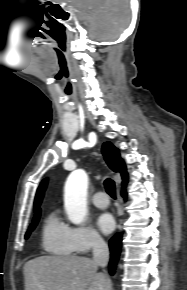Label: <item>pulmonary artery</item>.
Returning a JSON list of instances; mask_svg holds the SVG:
<instances>
[{
  "mask_svg": "<svg viewBox=\"0 0 187 290\" xmlns=\"http://www.w3.org/2000/svg\"><path fill=\"white\" fill-rule=\"evenodd\" d=\"M92 203L99 208H106L109 205V200L104 192H97L92 196Z\"/></svg>",
  "mask_w": 187,
  "mask_h": 290,
  "instance_id": "1",
  "label": "pulmonary artery"
}]
</instances>
